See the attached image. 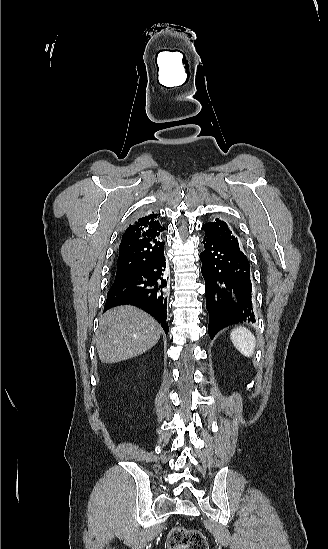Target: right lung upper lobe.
Masks as SVG:
<instances>
[{
	"instance_id": "right-lung-upper-lobe-1",
	"label": "right lung upper lobe",
	"mask_w": 328,
	"mask_h": 549,
	"mask_svg": "<svg viewBox=\"0 0 328 549\" xmlns=\"http://www.w3.org/2000/svg\"><path fill=\"white\" fill-rule=\"evenodd\" d=\"M160 214L140 215L122 235L116 259V278L122 280L139 272L164 251L165 228Z\"/></svg>"
}]
</instances>
